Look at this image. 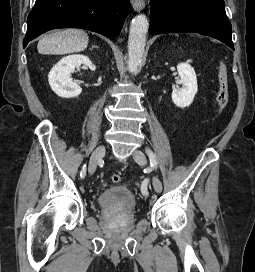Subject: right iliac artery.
<instances>
[{
  "instance_id": "right-iliac-artery-1",
  "label": "right iliac artery",
  "mask_w": 255,
  "mask_h": 272,
  "mask_svg": "<svg viewBox=\"0 0 255 272\" xmlns=\"http://www.w3.org/2000/svg\"><path fill=\"white\" fill-rule=\"evenodd\" d=\"M85 174H86V165L83 166L81 172H80V177L81 178H84L85 177Z\"/></svg>"
}]
</instances>
